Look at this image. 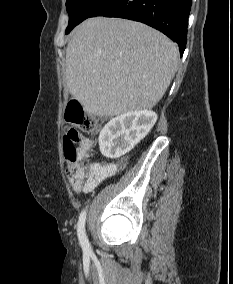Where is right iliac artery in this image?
I'll use <instances>...</instances> for the list:
<instances>
[{
  "mask_svg": "<svg viewBox=\"0 0 233 284\" xmlns=\"http://www.w3.org/2000/svg\"><path fill=\"white\" fill-rule=\"evenodd\" d=\"M85 220H86V211L83 210L78 220L77 234H78V239L82 246V249L86 252H89L90 245H89L86 233H85Z\"/></svg>",
  "mask_w": 233,
  "mask_h": 284,
  "instance_id": "obj_1",
  "label": "right iliac artery"
}]
</instances>
